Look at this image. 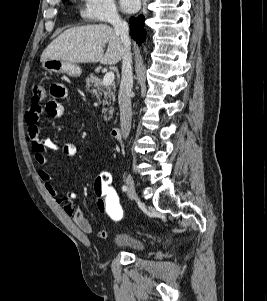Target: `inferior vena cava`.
<instances>
[{"mask_svg":"<svg viewBox=\"0 0 267 301\" xmlns=\"http://www.w3.org/2000/svg\"><path fill=\"white\" fill-rule=\"evenodd\" d=\"M111 24L125 47V53L122 60V77L118 95V102L120 108V125L121 132L124 139H127L131 129V90L133 87V72H132V56H131V42L129 38V26L126 21L120 19L117 14L111 17Z\"/></svg>","mask_w":267,"mask_h":301,"instance_id":"1","label":"inferior vena cava"}]
</instances>
